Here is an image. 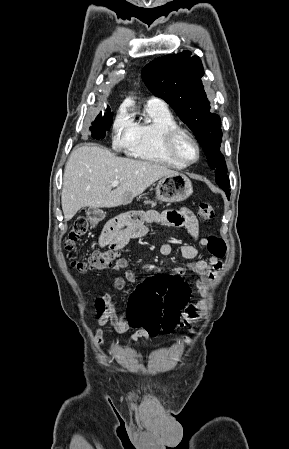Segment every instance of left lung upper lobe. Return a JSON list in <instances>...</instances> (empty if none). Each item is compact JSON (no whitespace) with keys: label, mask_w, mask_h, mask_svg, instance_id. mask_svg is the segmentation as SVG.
<instances>
[{"label":"left lung upper lobe","mask_w":289,"mask_h":449,"mask_svg":"<svg viewBox=\"0 0 289 449\" xmlns=\"http://www.w3.org/2000/svg\"><path fill=\"white\" fill-rule=\"evenodd\" d=\"M189 54L185 51L159 57L146 65L141 75L148 89L165 100L195 133L209 166L215 170V182L223 190H228L230 181L220 152L221 120L209 111L201 81L204 75L201 60Z\"/></svg>","instance_id":"5c2ea615"}]
</instances>
